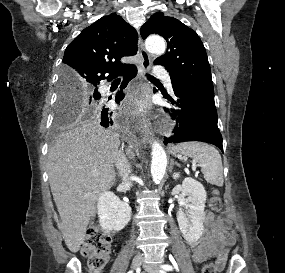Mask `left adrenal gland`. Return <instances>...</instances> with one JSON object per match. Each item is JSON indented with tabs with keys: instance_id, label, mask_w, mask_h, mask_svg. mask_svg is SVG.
Listing matches in <instances>:
<instances>
[{
	"instance_id": "obj_1",
	"label": "left adrenal gland",
	"mask_w": 285,
	"mask_h": 273,
	"mask_svg": "<svg viewBox=\"0 0 285 273\" xmlns=\"http://www.w3.org/2000/svg\"><path fill=\"white\" fill-rule=\"evenodd\" d=\"M174 164L177 165V166H180L177 162H175V161L172 159V160H171V169H172V166H173Z\"/></svg>"
}]
</instances>
